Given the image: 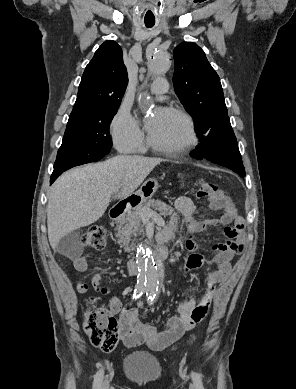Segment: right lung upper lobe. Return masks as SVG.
Returning a JSON list of instances; mask_svg holds the SVG:
<instances>
[{"label": "right lung upper lobe", "mask_w": 296, "mask_h": 389, "mask_svg": "<svg viewBox=\"0 0 296 389\" xmlns=\"http://www.w3.org/2000/svg\"><path fill=\"white\" fill-rule=\"evenodd\" d=\"M127 83L121 47L112 40L104 42L86 66L69 120L94 109L120 106Z\"/></svg>", "instance_id": "cb5924a9"}]
</instances>
